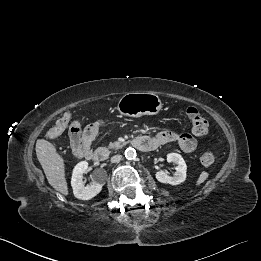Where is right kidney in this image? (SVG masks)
I'll return each mask as SVG.
<instances>
[{"mask_svg": "<svg viewBox=\"0 0 261 261\" xmlns=\"http://www.w3.org/2000/svg\"><path fill=\"white\" fill-rule=\"evenodd\" d=\"M88 162H79L73 169L71 186L74 196L81 200H90L99 194L105 184V173L100 171L95 174L93 183L85 186L83 182V174L87 172Z\"/></svg>", "mask_w": 261, "mask_h": 261, "instance_id": "ca27d5eb", "label": "right kidney"}]
</instances>
